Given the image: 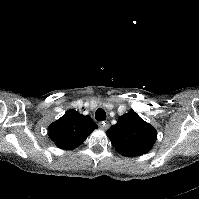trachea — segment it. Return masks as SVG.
Returning a JSON list of instances; mask_svg holds the SVG:
<instances>
[{
  "instance_id": "obj_1",
  "label": "trachea",
  "mask_w": 199,
  "mask_h": 199,
  "mask_svg": "<svg viewBox=\"0 0 199 199\" xmlns=\"http://www.w3.org/2000/svg\"><path fill=\"white\" fill-rule=\"evenodd\" d=\"M95 118L98 121L106 120V112L102 108H98L95 112Z\"/></svg>"
}]
</instances>
